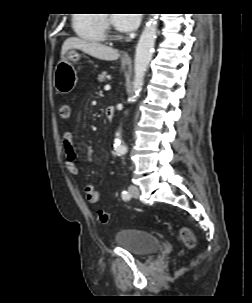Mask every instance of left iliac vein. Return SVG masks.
Instances as JSON below:
<instances>
[{"instance_id":"4c4485c4","label":"left iliac vein","mask_w":252,"mask_h":303,"mask_svg":"<svg viewBox=\"0 0 252 303\" xmlns=\"http://www.w3.org/2000/svg\"><path fill=\"white\" fill-rule=\"evenodd\" d=\"M128 190L132 197L134 198L139 197V188L136 185H130Z\"/></svg>"}]
</instances>
